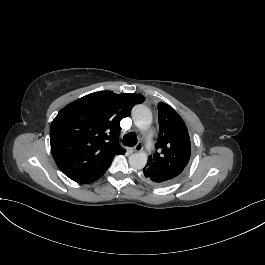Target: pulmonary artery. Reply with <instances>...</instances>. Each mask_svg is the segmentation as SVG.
<instances>
[{"label":"pulmonary artery","mask_w":265,"mask_h":265,"mask_svg":"<svg viewBox=\"0 0 265 265\" xmlns=\"http://www.w3.org/2000/svg\"><path fill=\"white\" fill-rule=\"evenodd\" d=\"M146 140L148 143V152L150 154H155L157 152V144L155 138V128L153 126H148L146 128Z\"/></svg>","instance_id":"e3ab8cb5"}]
</instances>
